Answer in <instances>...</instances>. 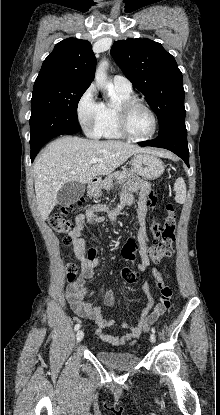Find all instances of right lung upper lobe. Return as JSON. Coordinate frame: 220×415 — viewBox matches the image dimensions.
Returning a JSON list of instances; mask_svg holds the SVG:
<instances>
[{
	"label": "right lung upper lobe",
	"mask_w": 220,
	"mask_h": 415,
	"mask_svg": "<svg viewBox=\"0 0 220 415\" xmlns=\"http://www.w3.org/2000/svg\"><path fill=\"white\" fill-rule=\"evenodd\" d=\"M96 58L90 42L67 38L55 45L44 60L36 83L60 82L90 86L94 80Z\"/></svg>",
	"instance_id": "1"
}]
</instances>
